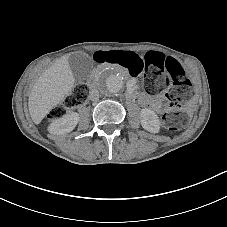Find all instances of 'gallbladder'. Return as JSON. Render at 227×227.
Listing matches in <instances>:
<instances>
[{"label": "gallbladder", "instance_id": "1", "mask_svg": "<svg viewBox=\"0 0 227 227\" xmlns=\"http://www.w3.org/2000/svg\"><path fill=\"white\" fill-rule=\"evenodd\" d=\"M68 63L76 81H84L93 69L92 59L85 52L71 54Z\"/></svg>", "mask_w": 227, "mask_h": 227}]
</instances>
